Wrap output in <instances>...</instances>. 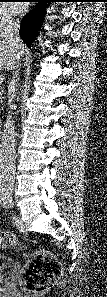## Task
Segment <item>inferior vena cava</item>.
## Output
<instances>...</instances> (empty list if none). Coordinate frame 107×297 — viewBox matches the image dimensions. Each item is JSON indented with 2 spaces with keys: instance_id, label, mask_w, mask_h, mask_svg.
I'll list each match as a JSON object with an SVG mask.
<instances>
[{
  "instance_id": "1",
  "label": "inferior vena cava",
  "mask_w": 107,
  "mask_h": 297,
  "mask_svg": "<svg viewBox=\"0 0 107 297\" xmlns=\"http://www.w3.org/2000/svg\"><path fill=\"white\" fill-rule=\"evenodd\" d=\"M0 35L5 36L8 41L13 45H22V41L19 37V21L13 20L10 16H4L0 23ZM20 64L15 67V72L11 81V91L13 95L8 101L10 109H13V100L15 95V85L18 80ZM15 126L12 118V112L8 111L6 123L4 125V132L1 137V169L2 174L11 180L15 171Z\"/></svg>"
}]
</instances>
